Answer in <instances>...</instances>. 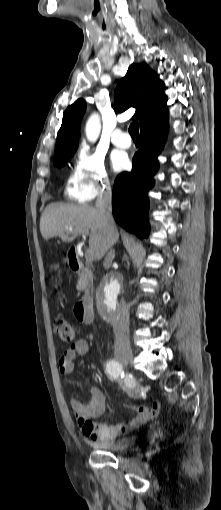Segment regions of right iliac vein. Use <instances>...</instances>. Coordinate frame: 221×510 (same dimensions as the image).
I'll return each instance as SVG.
<instances>
[{
    "instance_id": "1",
    "label": "right iliac vein",
    "mask_w": 221,
    "mask_h": 510,
    "mask_svg": "<svg viewBox=\"0 0 221 510\" xmlns=\"http://www.w3.org/2000/svg\"><path fill=\"white\" fill-rule=\"evenodd\" d=\"M117 359L120 363L125 366L131 365L133 362V354L132 352H123L117 355Z\"/></svg>"
}]
</instances>
